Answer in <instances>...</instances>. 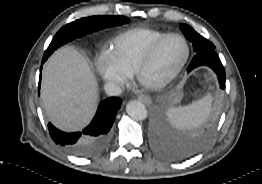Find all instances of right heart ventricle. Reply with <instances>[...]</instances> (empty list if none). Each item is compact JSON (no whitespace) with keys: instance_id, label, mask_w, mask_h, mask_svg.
<instances>
[{"instance_id":"1","label":"right heart ventricle","mask_w":262,"mask_h":184,"mask_svg":"<svg viewBox=\"0 0 262 184\" xmlns=\"http://www.w3.org/2000/svg\"><path fill=\"white\" fill-rule=\"evenodd\" d=\"M166 34L149 28L127 30L114 38L111 54L119 66L131 75L151 46Z\"/></svg>"}]
</instances>
